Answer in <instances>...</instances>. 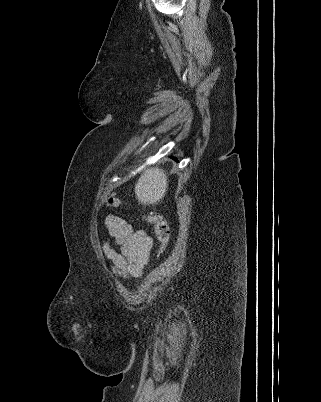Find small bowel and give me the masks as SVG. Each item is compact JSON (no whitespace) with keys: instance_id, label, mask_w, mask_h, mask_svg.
Listing matches in <instances>:
<instances>
[{"instance_id":"small-bowel-1","label":"small bowel","mask_w":321,"mask_h":402,"mask_svg":"<svg viewBox=\"0 0 321 402\" xmlns=\"http://www.w3.org/2000/svg\"><path fill=\"white\" fill-rule=\"evenodd\" d=\"M106 228L118 249L109 243L103 244L104 254L112 262V271L123 278H138L149 261L153 246L152 238L144 230H135L124 218L109 214L105 219ZM73 328L86 327V322L73 321ZM76 338L84 337V332L76 331Z\"/></svg>"}]
</instances>
